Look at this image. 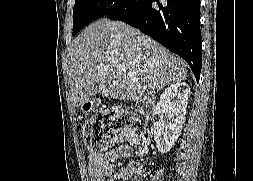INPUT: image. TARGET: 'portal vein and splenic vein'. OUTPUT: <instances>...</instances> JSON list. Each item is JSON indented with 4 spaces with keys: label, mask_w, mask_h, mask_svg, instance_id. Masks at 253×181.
<instances>
[{
    "label": "portal vein and splenic vein",
    "mask_w": 253,
    "mask_h": 181,
    "mask_svg": "<svg viewBox=\"0 0 253 181\" xmlns=\"http://www.w3.org/2000/svg\"><path fill=\"white\" fill-rule=\"evenodd\" d=\"M117 69H118L119 73H125L126 72V68L123 65H119L117 67ZM128 75L131 76V77H133L135 75V73L134 72H128Z\"/></svg>",
    "instance_id": "portal-vein-and-splenic-vein-1"
}]
</instances>
